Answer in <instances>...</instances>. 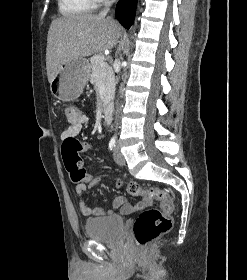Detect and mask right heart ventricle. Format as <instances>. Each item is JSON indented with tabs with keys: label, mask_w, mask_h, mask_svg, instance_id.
<instances>
[{
	"label": "right heart ventricle",
	"mask_w": 247,
	"mask_h": 280,
	"mask_svg": "<svg viewBox=\"0 0 247 280\" xmlns=\"http://www.w3.org/2000/svg\"><path fill=\"white\" fill-rule=\"evenodd\" d=\"M96 0H58L59 11L64 16L86 14L95 7Z\"/></svg>",
	"instance_id": "right-heart-ventricle-1"
}]
</instances>
